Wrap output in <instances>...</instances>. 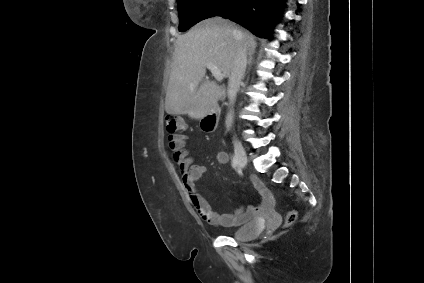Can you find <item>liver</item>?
<instances>
[{
	"mask_svg": "<svg viewBox=\"0 0 424 283\" xmlns=\"http://www.w3.org/2000/svg\"><path fill=\"white\" fill-rule=\"evenodd\" d=\"M250 52L256 48L254 36L228 20L207 18L186 34L179 36L171 66L165 98L168 114L204 118L217 103L221 88L215 81L199 86L206 64L216 65L230 77L232 63L239 47Z\"/></svg>",
	"mask_w": 424,
	"mask_h": 283,
	"instance_id": "obj_1",
	"label": "liver"
}]
</instances>
